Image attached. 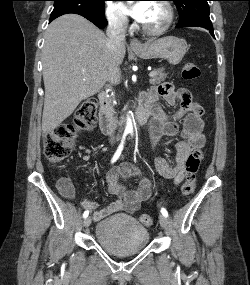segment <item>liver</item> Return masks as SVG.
Wrapping results in <instances>:
<instances>
[{
    "mask_svg": "<svg viewBox=\"0 0 250 285\" xmlns=\"http://www.w3.org/2000/svg\"><path fill=\"white\" fill-rule=\"evenodd\" d=\"M107 37L77 14L63 15L47 28L43 46L45 86L42 130L57 128L79 103L101 90L110 60ZM126 53L118 50V65Z\"/></svg>",
    "mask_w": 250,
    "mask_h": 285,
    "instance_id": "6515ba94",
    "label": "liver"
}]
</instances>
